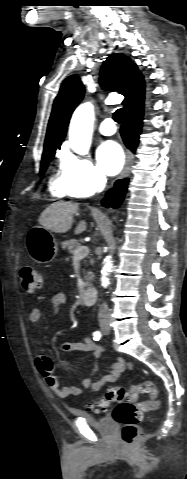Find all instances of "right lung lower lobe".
<instances>
[{"label": "right lung lower lobe", "mask_w": 187, "mask_h": 479, "mask_svg": "<svg viewBox=\"0 0 187 479\" xmlns=\"http://www.w3.org/2000/svg\"><path fill=\"white\" fill-rule=\"evenodd\" d=\"M143 108L144 105L127 110L124 124L121 127L123 141L133 152L139 142L143 120ZM127 183L128 179L116 181L115 186L107 192L106 197L102 201V205L105 207L111 206L113 208H118L126 193Z\"/></svg>", "instance_id": "1"}]
</instances>
